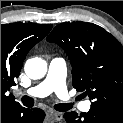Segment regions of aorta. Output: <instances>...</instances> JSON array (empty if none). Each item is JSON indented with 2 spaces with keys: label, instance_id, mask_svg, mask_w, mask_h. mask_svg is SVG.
Masks as SVG:
<instances>
[{
  "label": "aorta",
  "instance_id": "aorta-1",
  "mask_svg": "<svg viewBox=\"0 0 123 123\" xmlns=\"http://www.w3.org/2000/svg\"><path fill=\"white\" fill-rule=\"evenodd\" d=\"M24 70L29 78L41 79L47 73V63L42 58H31L26 61Z\"/></svg>",
  "mask_w": 123,
  "mask_h": 123
}]
</instances>
